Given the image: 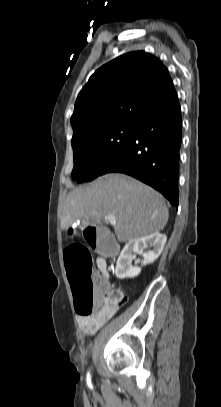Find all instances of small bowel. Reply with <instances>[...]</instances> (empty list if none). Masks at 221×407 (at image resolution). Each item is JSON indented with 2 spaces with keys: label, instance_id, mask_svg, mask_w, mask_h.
<instances>
[{
  "label": "small bowel",
  "instance_id": "small-bowel-1",
  "mask_svg": "<svg viewBox=\"0 0 221 407\" xmlns=\"http://www.w3.org/2000/svg\"><path fill=\"white\" fill-rule=\"evenodd\" d=\"M96 265L98 273L95 275L100 286L109 290L114 295L124 297L122 291L113 289L110 285V274L106 259L104 257H98L96 260ZM117 308H105L90 316H79L78 324L85 333L93 335L107 323L111 316L116 312Z\"/></svg>",
  "mask_w": 221,
  "mask_h": 407
}]
</instances>
